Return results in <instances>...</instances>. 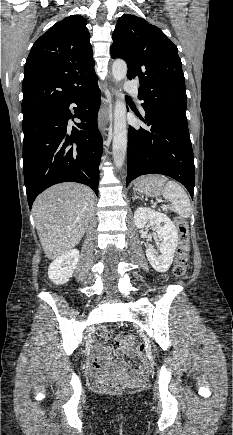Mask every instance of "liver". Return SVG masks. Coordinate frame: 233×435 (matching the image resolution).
Listing matches in <instances>:
<instances>
[{
    "label": "liver",
    "instance_id": "1",
    "mask_svg": "<svg viewBox=\"0 0 233 435\" xmlns=\"http://www.w3.org/2000/svg\"><path fill=\"white\" fill-rule=\"evenodd\" d=\"M93 191L66 182L54 185L35 200L32 210L46 257L56 259L82 239L94 212Z\"/></svg>",
    "mask_w": 233,
    "mask_h": 435
}]
</instances>
